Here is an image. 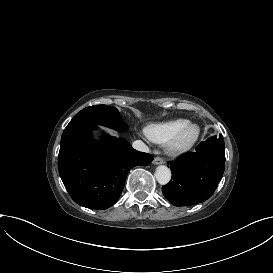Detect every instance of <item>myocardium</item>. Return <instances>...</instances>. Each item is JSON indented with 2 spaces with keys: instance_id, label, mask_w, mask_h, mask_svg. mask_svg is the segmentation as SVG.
<instances>
[{
  "instance_id": "obj_1",
  "label": "myocardium",
  "mask_w": 273,
  "mask_h": 273,
  "mask_svg": "<svg viewBox=\"0 0 273 273\" xmlns=\"http://www.w3.org/2000/svg\"><path fill=\"white\" fill-rule=\"evenodd\" d=\"M202 125L198 122H189L185 125L176 137L169 142L168 152L173 155H180L189 151L198 141L202 134Z\"/></svg>"
}]
</instances>
